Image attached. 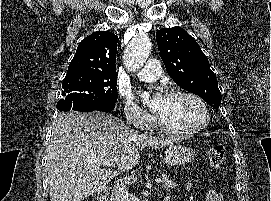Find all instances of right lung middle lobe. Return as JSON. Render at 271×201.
<instances>
[{"mask_svg": "<svg viewBox=\"0 0 271 201\" xmlns=\"http://www.w3.org/2000/svg\"><path fill=\"white\" fill-rule=\"evenodd\" d=\"M117 75L86 71L68 72L62 95L86 101H117Z\"/></svg>", "mask_w": 271, "mask_h": 201, "instance_id": "1", "label": "right lung middle lobe"}]
</instances>
